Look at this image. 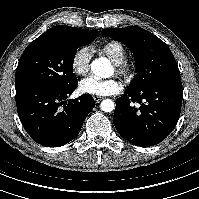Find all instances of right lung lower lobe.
<instances>
[{
	"label": "right lung lower lobe",
	"instance_id": "98d812e1",
	"mask_svg": "<svg viewBox=\"0 0 199 199\" xmlns=\"http://www.w3.org/2000/svg\"><path fill=\"white\" fill-rule=\"evenodd\" d=\"M77 85L60 89L26 86L16 90L20 121L35 142L58 147L77 137L85 118L95 106L90 94L66 101Z\"/></svg>",
	"mask_w": 199,
	"mask_h": 199
}]
</instances>
